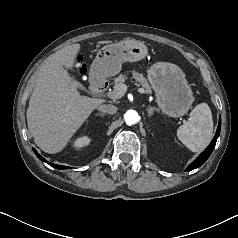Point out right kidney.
Masks as SVG:
<instances>
[{"label": "right kidney", "mask_w": 238, "mask_h": 238, "mask_svg": "<svg viewBox=\"0 0 238 238\" xmlns=\"http://www.w3.org/2000/svg\"><path fill=\"white\" fill-rule=\"evenodd\" d=\"M90 144V138L88 136H83V137H79L77 138L74 143H73V146L75 148H82L84 146H87Z\"/></svg>", "instance_id": "obj_1"}]
</instances>
